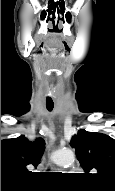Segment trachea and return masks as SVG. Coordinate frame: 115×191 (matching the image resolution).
<instances>
[{
    "label": "trachea",
    "instance_id": "obj_1",
    "mask_svg": "<svg viewBox=\"0 0 115 191\" xmlns=\"http://www.w3.org/2000/svg\"><path fill=\"white\" fill-rule=\"evenodd\" d=\"M49 111H51L53 108H47Z\"/></svg>",
    "mask_w": 115,
    "mask_h": 191
}]
</instances>
